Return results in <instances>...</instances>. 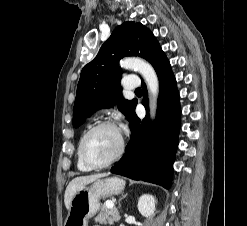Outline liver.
Wrapping results in <instances>:
<instances>
[{
  "label": "liver",
  "mask_w": 247,
  "mask_h": 226,
  "mask_svg": "<svg viewBox=\"0 0 247 226\" xmlns=\"http://www.w3.org/2000/svg\"><path fill=\"white\" fill-rule=\"evenodd\" d=\"M108 174L106 173H100V174H94V175H88V176H80L72 179L70 183L68 184L65 195H64V203L66 208L69 210L70 208V203L71 200L74 196V194L81 189L83 186L99 179L102 177L107 176Z\"/></svg>",
  "instance_id": "6515ba94"
}]
</instances>
